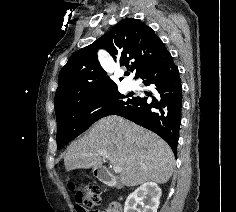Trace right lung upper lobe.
<instances>
[{
  "label": "right lung upper lobe",
  "mask_w": 236,
  "mask_h": 212,
  "mask_svg": "<svg viewBox=\"0 0 236 212\" xmlns=\"http://www.w3.org/2000/svg\"><path fill=\"white\" fill-rule=\"evenodd\" d=\"M163 47L145 23L133 18L122 20L109 33L70 56L59 73L55 111L83 97L117 88L97 59L98 49L109 52L120 66L128 68L131 63L135 78H139Z\"/></svg>",
  "instance_id": "right-lung-upper-lobe-1"
}]
</instances>
